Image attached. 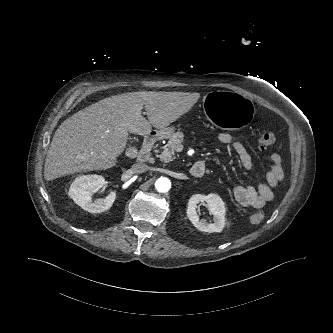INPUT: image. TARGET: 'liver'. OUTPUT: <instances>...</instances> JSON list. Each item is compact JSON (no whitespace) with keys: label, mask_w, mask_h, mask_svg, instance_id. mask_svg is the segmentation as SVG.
I'll return each mask as SVG.
<instances>
[{"label":"liver","mask_w":333,"mask_h":333,"mask_svg":"<svg viewBox=\"0 0 333 333\" xmlns=\"http://www.w3.org/2000/svg\"><path fill=\"white\" fill-rule=\"evenodd\" d=\"M199 93L130 92L107 97L72 115L56 130L48 150V181L82 171L114 167L128 141V132L146 135L163 129L187 113ZM143 107L148 120L141 115Z\"/></svg>","instance_id":"1"}]
</instances>
